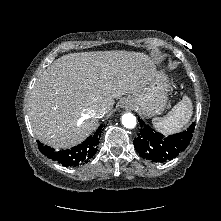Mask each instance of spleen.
I'll return each mask as SVG.
<instances>
[{
    "instance_id": "obj_1",
    "label": "spleen",
    "mask_w": 221,
    "mask_h": 221,
    "mask_svg": "<svg viewBox=\"0 0 221 221\" xmlns=\"http://www.w3.org/2000/svg\"><path fill=\"white\" fill-rule=\"evenodd\" d=\"M193 113L192 101L184 96L164 117L152 120L153 127L163 134H173L182 130L189 122Z\"/></svg>"
}]
</instances>
